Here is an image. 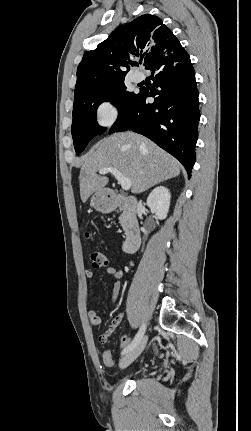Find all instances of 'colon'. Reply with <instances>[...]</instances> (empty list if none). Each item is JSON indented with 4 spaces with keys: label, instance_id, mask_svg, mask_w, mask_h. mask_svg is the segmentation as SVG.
I'll list each match as a JSON object with an SVG mask.
<instances>
[{
    "label": "colon",
    "instance_id": "obj_1",
    "mask_svg": "<svg viewBox=\"0 0 251 431\" xmlns=\"http://www.w3.org/2000/svg\"><path fill=\"white\" fill-rule=\"evenodd\" d=\"M87 236L90 237V234H87ZM89 258L94 268H102L108 264L107 257L97 249L90 250ZM129 342L130 337L127 335H124L120 338L119 344L122 350H127ZM100 359L102 365L107 366V368L110 370H114L117 367V364L114 362V353L111 350L103 351L102 355L100 356Z\"/></svg>",
    "mask_w": 251,
    "mask_h": 431
}]
</instances>
